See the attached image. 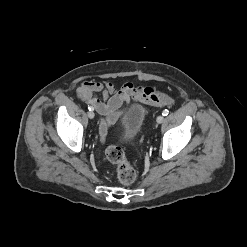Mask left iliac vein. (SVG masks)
<instances>
[{
    "instance_id": "4c4485c4",
    "label": "left iliac vein",
    "mask_w": 247,
    "mask_h": 247,
    "mask_svg": "<svg viewBox=\"0 0 247 247\" xmlns=\"http://www.w3.org/2000/svg\"><path fill=\"white\" fill-rule=\"evenodd\" d=\"M163 119H164L163 116L160 115V116L157 117L156 121H157V123L160 124V123L163 122Z\"/></svg>"
}]
</instances>
